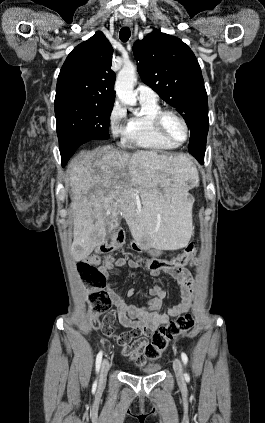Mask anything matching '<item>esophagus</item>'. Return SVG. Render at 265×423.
I'll list each match as a JSON object with an SVG mask.
<instances>
[{
  "instance_id": "34e87169",
  "label": "esophagus",
  "mask_w": 265,
  "mask_h": 423,
  "mask_svg": "<svg viewBox=\"0 0 265 423\" xmlns=\"http://www.w3.org/2000/svg\"><path fill=\"white\" fill-rule=\"evenodd\" d=\"M131 23H132V22H131V20H130V19H124V20H123V25H124V26H130V25H131Z\"/></svg>"
}]
</instances>
